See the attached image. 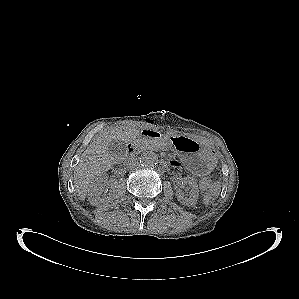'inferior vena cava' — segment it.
I'll return each instance as SVG.
<instances>
[{
  "instance_id": "1",
  "label": "inferior vena cava",
  "mask_w": 299,
  "mask_h": 299,
  "mask_svg": "<svg viewBox=\"0 0 299 299\" xmlns=\"http://www.w3.org/2000/svg\"><path fill=\"white\" fill-rule=\"evenodd\" d=\"M138 165H139V162L136 159H132L127 163V166H129V167H136Z\"/></svg>"
}]
</instances>
